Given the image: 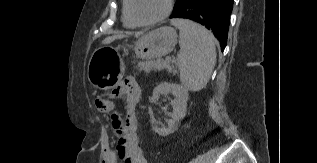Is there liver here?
I'll list each match as a JSON object with an SVG mask.
<instances>
[{
  "instance_id": "6515ba94",
  "label": "liver",
  "mask_w": 317,
  "mask_h": 163,
  "mask_svg": "<svg viewBox=\"0 0 317 163\" xmlns=\"http://www.w3.org/2000/svg\"><path fill=\"white\" fill-rule=\"evenodd\" d=\"M124 36L123 35H113V36H109L107 38H105L103 41H102V44H110L112 43L113 41H115L116 39H122Z\"/></svg>"
}]
</instances>
